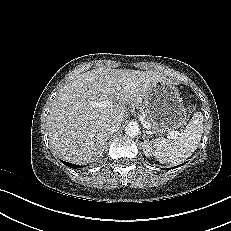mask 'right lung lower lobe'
Instances as JSON below:
<instances>
[{
    "mask_svg": "<svg viewBox=\"0 0 231 231\" xmlns=\"http://www.w3.org/2000/svg\"><path fill=\"white\" fill-rule=\"evenodd\" d=\"M66 166L70 167V168H79L80 166L79 165H75V164H71V163H68V162H65V161H62Z\"/></svg>",
    "mask_w": 231,
    "mask_h": 231,
    "instance_id": "1",
    "label": "right lung lower lobe"
}]
</instances>
